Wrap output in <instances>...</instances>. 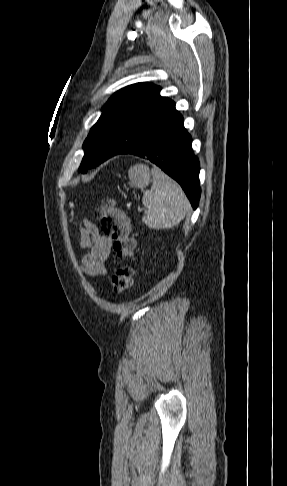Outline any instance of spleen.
<instances>
[{"label": "spleen", "instance_id": "spleen-1", "mask_svg": "<svg viewBox=\"0 0 287 486\" xmlns=\"http://www.w3.org/2000/svg\"><path fill=\"white\" fill-rule=\"evenodd\" d=\"M152 176V187L142 198L148 208L142 220L151 229H170L184 219L189 201L181 187L161 170L152 169Z\"/></svg>", "mask_w": 287, "mask_h": 486}]
</instances>
